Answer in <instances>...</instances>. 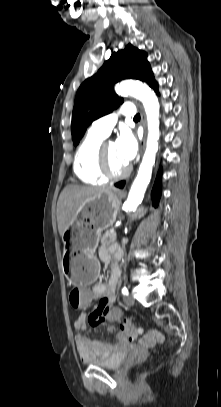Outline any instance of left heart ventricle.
<instances>
[{
  "label": "left heart ventricle",
  "mask_w": 221,
  "mask_h": 407,
  "mask_svg": "<svg viewBox=\"0 0 221 407\" xmlns=\"http://www.w3.org/2000/svg\"><path fill=\"white\" fill-rule=\"evenodd\" d=\"M106 153L110 167L113 171L118 172L123 170L127 164H125L118 156L116 145L113 142H109L106 147Z\"/></svg>",
  "instance_id": "1"
}]
</instances>
